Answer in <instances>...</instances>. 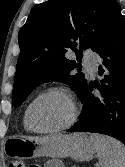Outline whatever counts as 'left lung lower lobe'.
I'll list each match as a JSON object with an SVG mask.
<instances>
[{
	"label": "left lung lower lobe",
	"instance_id": "obj_1",
	"mask_svg": "<svg viewBox=\"0 0 125 167\" xmlns=\"http://www.w3.org/2000/svg\"><path fill=\"white\" fill-rule=\"evenodd\" d=\"M101 57V85L95 86L102 98L86 86L81 94L83 112L68 132H94L109 135L125 144V21L120 14L95 51Z\"/></svg>",
	"mask_w": 125,
	"mask_h": 167
}]
</instances>
